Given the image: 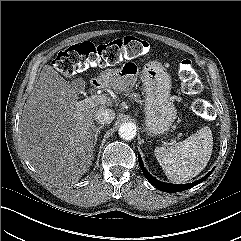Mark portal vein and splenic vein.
<instances>
[{"instance_id": "18ae733b", "label": "portal vein and splenic vein", "mask_w": 241, "mask_h": 241, "mask_svg": "<svg viewBox=\"0 0 241 241\" xmlns=\"http://www.w3.org/2000/svg\"><path fill=\"white\" fill-rule=\"evenodd\" d=\"M85 102L90 103H98V104H105L109 101V98L106 96V94L101 95H92L91 97H87L84 99Z\"/></svg>"}]
</instances>
